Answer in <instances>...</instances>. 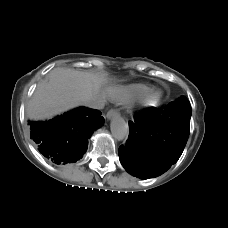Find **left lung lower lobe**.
I'll list each match as a JSON object with an SVG mask.
<instances>
[{
    "label": "left lung lower lobe",
    "mask_w": 228,
    "mask_h": 228,
    "mask_svg": "<svg viewBox=\"0 0 228 228\" xmlns=\"http://www.w3.org/2000/svg\"><path fill=\"white\" fill-rule=\"evenodd\" d=\"M191 106L169 103L152 108L130 122V134L119 147V159L132 175L147 179L167 171L181 156L190 132Z\"/></svg>",
    "instance_id": "1"
}]
</instances>
